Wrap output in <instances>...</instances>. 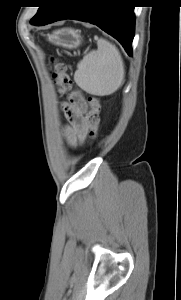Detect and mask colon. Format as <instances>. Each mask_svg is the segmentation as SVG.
Wrapping results in <instances>:
<instances>
[{"label":"colon","mask_w":181,"mask_h":300,"mask_svg":"<svg viewBox=\"0 0 181 300\" xmlns=\"http://www.w3.org/2000/svg\"><path fill=\"white\" fill-rule=\"evenodd\" d=\"M53 78L60 91H69L72 87V80L67 73V67L61 62H54L53 65ZM70 104L64 106V111L68 117L73 115L76 108H80L84 104V99L78 92H73L70 95ZM89 111L86 115V124L88 130V137L94 140L98 136L101 103L97 97L91 96L87 99Z\"/></svg>","instance_id":"5ec220e1"}]
</instances>
